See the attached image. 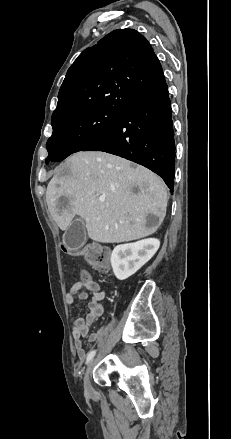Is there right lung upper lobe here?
Wrapping results in <instances>:
<instances>
[{
	"label": "right lung upper lobe",
	"mask_w": 231,
	"mask_h": 439,
	"mask_svg": "<svg viewBox=\"0 0 231 439\" xmlns=\"http://www.w3.org/2000/svg\"><path fill=\"white\" fill-rule=\"evenodd\" d=\"M166 85L147 39L134 29L114 30L84 50L68 69L52 119L93 108L123 112Z\"/></svg>",
	"instance_id": "obj_1"
}]
</instances>
